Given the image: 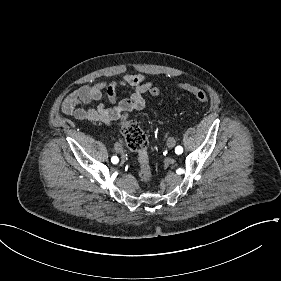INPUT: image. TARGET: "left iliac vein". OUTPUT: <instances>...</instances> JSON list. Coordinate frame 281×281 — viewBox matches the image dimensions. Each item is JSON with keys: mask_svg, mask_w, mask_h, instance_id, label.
<instances>
[{"mask_svg": "<svg viewBox=\"0 0 281 281\" xmlns=\"http://www.w3.org/2000/svg\"><path fill=\"white\" fill-rule=\"evenodd\" d=\"M167 145L169 148H173L175 146V140L172 137H169L167 140Z\"/></svg>", "mask_w": 281, "mask_h": 281, "instance_id": "4c4485c4", "label": "left iliac vein"}]
</instances>
